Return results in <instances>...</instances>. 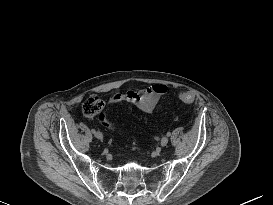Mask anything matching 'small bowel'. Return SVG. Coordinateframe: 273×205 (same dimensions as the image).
<instances>
[{
  "label": "small bowel",
  "instance_id": "c3829d8e",
  "mask_svg": "<svg viewBox=\"0 0 273 205\" xmlns=\"http://www.w3.org/2000/svg\"><path fill=\"white\" fill-rule=\"evenodd\" d=\"M169 93V88L163 84H154L143 90L115 93L109 100V104L122 102L133 103L141 112L151 113L160 98Z\"/></svg>",
  "mask_w": 273,
  "mask_h": 205
}]
</instances>
